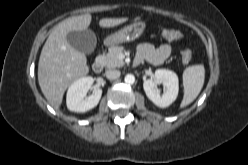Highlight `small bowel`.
I'll use <instances>...</instances> for the list:
<instances>
[{"instance_id": "c3829d8e", "label": "small bowel", "mask_w": 248, "mask_h": 165, "mask_svg": "<svg viewBox=\"0 0 248 165\" xmlns=\"http://www.w3.org/2000/svg\"><path fill=\"white\" fill-rule=\"evenodd\" d=\"M172 53V47L169 44H162L155 47L150 43H142L138 47L137 57H141L148 63L156 66L162 64Z\"/></svg>"}]
</instances>
